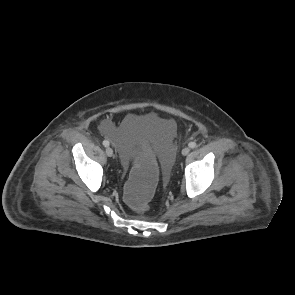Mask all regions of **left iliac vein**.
I'll return each instance as SVG.
<instances>
[{
	"instance_id": "1",
	"label": "left iliac vein",
	"mask_w": 295,
	"mask_h": 295,
	"mask_svg": "<svg viewBox=\"0 0 295 295\" xmlns=\"http://www.w3.org/2000/svg\"><path fill=\"white\" fill-rule=\"evenodd\" d=\"M190 152V148L189 147H185L182 149V155L186 156L188 155Z\"/></svg>"
}]
</instances>
